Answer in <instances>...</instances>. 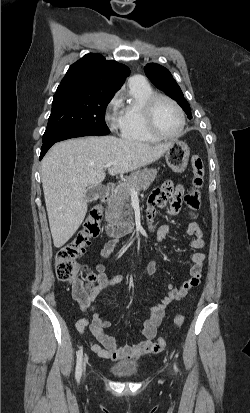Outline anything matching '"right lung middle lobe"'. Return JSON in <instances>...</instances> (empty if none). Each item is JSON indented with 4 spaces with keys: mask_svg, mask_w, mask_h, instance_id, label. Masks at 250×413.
Listing matches in <instances>:
<instances>
[{
    "mask_svg": "<svg viewBox=\"0 0 250 413\" xmlns=\"http://www.w3.org/2000/svg\"><path fill=\"white\" fill-rule=\"evenodd\" d=\"M114 93L76 86L57 88L52 111L43 135V143L71 131H94L109 134L105 110Z\"/></svg>",
    "mask_w": 250,
    "mask_h": 413,
    "instance_id": "right-lung-middle-lobe-1",
    "label": "right lung middle lobe"
}]
</instances>
